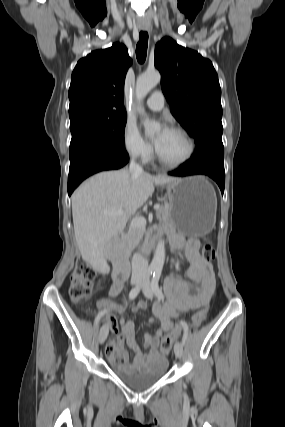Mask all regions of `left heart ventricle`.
Listing matches in <instances>:
<instances>
[{"label":"left heart ventricle","mask_w":285,"mask_h":427,"mask_svg":"<svg viewBox=\"0 0 285 427\" xmlns=\"http://www.w3.org/2000/svg\"><path fill=\"white\" fill-rule=\"evenodd\" d=\"M160 133L157 134V138ZM159 155L166 161H178L187 152L188 146L185 139L178 133L168 131L161 139L160 144L156 148Z\"/></svg>","instance_id":"b2bd125f"}]
</instances>
